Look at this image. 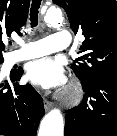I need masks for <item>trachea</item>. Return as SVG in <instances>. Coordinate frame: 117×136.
<instances>
[{"label":"trachea","instance_id":"trachea-1","mask_svg":"<svg viewBox=\"0 0 117 136\" xmlns=\"http://www.w3.org/2000/svg\"><path fill=\"white\" fill-rule=\"evenodd\" d=\"M41 5V0H32L30 9L31 26L35 27L38 24V12Z\"/></svg>","mask_w":117,"mask_h":136}]
</instances>
